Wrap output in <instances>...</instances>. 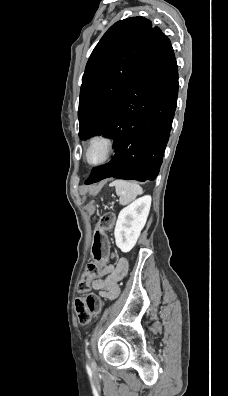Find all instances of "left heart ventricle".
Listing matches in <instances>:
<instances>
[{
	"label": "left heart ventricle",
	"mask_w": 228,
	"mask_h": 396,
	"mask_svg": "<svg viewBox=\"0 0 228 396\" xmlns=\"http://www.w3.org/2000/svg\"><path fill=\"white\" fill-rule=\"evenodd\" d=\"M102 152H103L102 147H101L100 145H97V146H95V147L92 149L91 154H90V157H91L93 160H96V159H98V158L101 157Z\"/></svg>",
	"instance_id": "obj_1"
}]
</instances>
